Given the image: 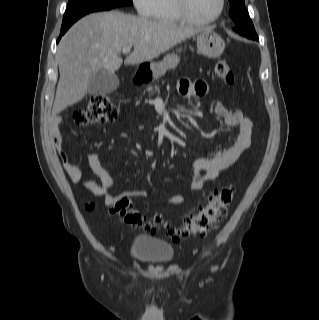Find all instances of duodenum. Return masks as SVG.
<instances>
[{
    "instance_id": "410a0bca",
    "label": "duodenum",
    "mask_w": 319,
    "mask_h": 320,
    "mask_svg": "<svg viewBox=\"0 0 319 320\" xmlns=\"http://www.w3.org/2000/svg\"><path fill=\"white\" fill-rule=\"evenodd\" d=\"M135 79L138 83H144L148 80V74H143V73L139 72V73H137Z\"/></svg>"
}]
</instances>
